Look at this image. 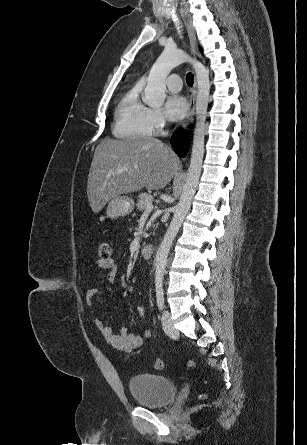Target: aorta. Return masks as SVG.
<instances>
[{
  "label": "aorta",
  "mask_w": 307,
  "mask_h": 445,
  "mask_svg": "<svg viewBox=\"0 0 307 445\" xmlns=\"http://www.w3.org/2000/svg\"><path fill=\"white\" fill-rule=\"evenodd\" d=\"M182 62H190V64H192L197 78L196 124L190 166L183 186L182 196L175 208L166 235L156 253L154 281L156 291L163 289V279L170 247L190 208L194 192H196L199 182L204 154V128L210 92L209 70H207L202 62H199L196 58H192V56H189L184 50L166 46L162 54L155 60L153 66H151L144 90L145 96L143 98V102H146L148 106H162L166 96L165 80L172 68L178 66V64H182Z\"/></svg>",
  "instance_id": "aorta-1"
}]
</instances>
